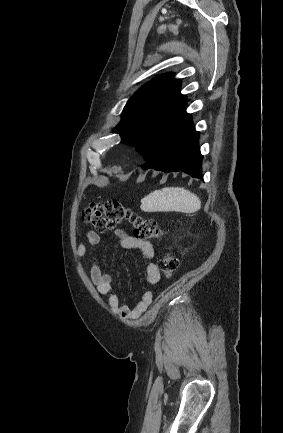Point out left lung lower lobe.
<instances>
[{
	"mask_svg": "<svg viewBox=\"0 0 283 433\" xmlns=\"http://www.w3.org/2000/svg\"><path fill=\"white\" fill-rule=\"evenodd\" d=\"M198 139L199 133L191 119L179 129L171 126L152 128L139 150L146 160L144 167L164 172L183 171L201 179L202 155Z\"/></svg>",
	"mask_w": 283,
	"mask_h": 433,
	"instance_id": "0a47b994",
	"label": "left lung lower lobe"
}]
</instances>
